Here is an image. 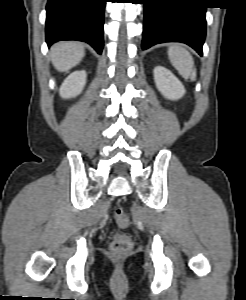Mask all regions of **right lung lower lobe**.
I'll use <instances>...</instances> for the list:
<instances>
[{
	"mask_svg": "<svg viewBox=\"0 0 246 300\" xmlns=\"http://www.w3.org/2000/svg\"><path fill=\"white\" fill-rule=\"evenodd\" d=\"M105 3L106 0H48L47 44L79 40L89 43L101 54Z\"/></svg>",
	"mask_w": 246,
	"mask_h": 300,
	"instance_id": "right-lung-lower-lobe-1",
	"label": "right lung lower lobe"
}]
</instances>
